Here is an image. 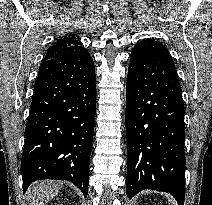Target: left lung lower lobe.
Segmentation results:
<instances>
[{"label": "left lung lower lobe", "instance_id": "left-lung-lower-lobe-1", "mask_svg": "<svg viewBox=\"0 0 212 205\" xmlns=\"http://www.w3.org/2000/svg\"><path fill=\"white\" fill-rule=\"evenodd\" d=\"M126 94L127 196L153 189L184 205V104L173 59L159 41L133 48Z\"/></svg>", "mask_w": 212, "mask_h": 205}]
</instances>
